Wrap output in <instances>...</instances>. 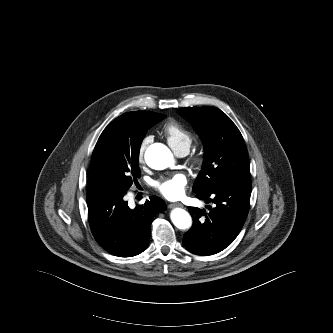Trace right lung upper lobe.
<instances>
[{"mask_svg":"<svg viewBox=\"0 0 333 333\" xmlns=\"http://www.w3.org/2000/svg\"><path fill=\"white\" fill-rule=\"evenodd\" d=\"M155 114L154 112L135 111L128 112L112 121L106 128V131L113 130L116 133H131L142 122L149 120ZM89 191H98L95 187L89 186Z\"/></svg>","mask_w":333,"mask_h":333,"instance_id":"1","label":"right lung upper lobe"}]
</instances>
